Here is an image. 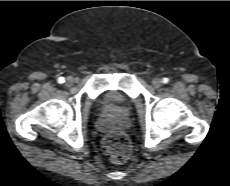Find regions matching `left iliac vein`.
<instances>
[{"instance_id":"1","label":"left iliac vein","mask_w":230,"mask_h":186,"mask_svg":"<svg viewBox=\"0 0 230 186\" xmlns=\"http://www.w3.org/2000/svg\"><path fill=\"white\" fill-rule=\"evenodd\" d=\"M152 85H153V87H155V88H159V87H161V85H162V80H161L160 78H155V79H153V81H152Z\"/></svg>"}]
</instances>
